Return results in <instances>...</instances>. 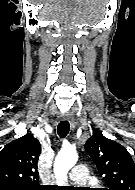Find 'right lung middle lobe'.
Here are the masks:
<instances>
[{
  "label": "right lung middle lobe",
  "mask_w": 135,
  "mask_h": 190,
  "mask_svg": "<svg viewBox=\"0 0 135 190\" xmlns=\"http://www.w3.org/2000/svg\"><path fill=\"white\" fill-rule=\"evenodd\" d=\"M0 190H22V189L15 188V187H0ZM23 190H33V189H23Z\"/></svg>",
  "instance_id": "obj_1"
}]
</instances>
